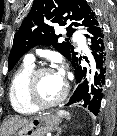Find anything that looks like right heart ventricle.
Returning <instances> with one entry per match:
<instances>
[{
  "label": "right heart ventricle",
  "instance_id": "1",
  "mask_svg": "<svg viewBox=\"0 0 117 136\" xmlns=\"http://www.w3.org/2000/svg\"><path fill=\"white\" fill-rule=\"evenodd\" d=\"M35 69L33 62L24 61L14 74L9 88V100L14 111L21 115L33 114L37 111L26 98L27 80Z\"/></svg>",
  "mask_w": 117,
  "mask_h": 136
}]
</instances>
